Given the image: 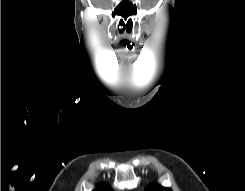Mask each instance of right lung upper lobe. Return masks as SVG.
<instances>
[{
    "mask_svg": "<svg viewBox=\"0 0 245 191\" xmlns=\"http://www.w3.org/2000/svg\"><path fill=\"white\" fill-rule=\"evenodd\" d=\"M93 191H113L108 185L102 184Z\"/></svg>",
    "mask_w": 245,
    "mask_h": 191,
    "instance_id": "obj_1",
    "label": "right lung upper lobe"
}]
</instances>
